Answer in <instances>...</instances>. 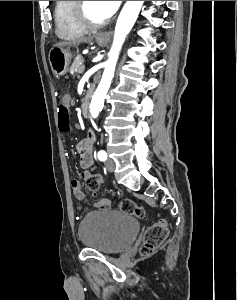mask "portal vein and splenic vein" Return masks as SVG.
Wrapping results in <instances>:
<instances>
[{"label":"portal vein and splenic vein","instance_id":"portal-vein-and-splenic-vein-1","mask_svg":"<svg viewBox=\"0 0 237 300\" xmlns=\"http://www.w3.org/2000/svg\"><path fill=\"white\" fill-rule=\"evenodd\" d=\"M86 67H87V64H85V63H84V66H83V65H81V66L79 67V69H78V70L80 71V73H82V74H83V73L85 72V69H86ZM85 74H86V73H85Z\"/></svg>","mask_w":237,"mask_h":300}]
</instances>
